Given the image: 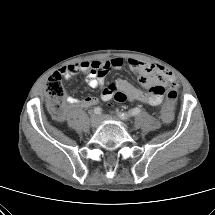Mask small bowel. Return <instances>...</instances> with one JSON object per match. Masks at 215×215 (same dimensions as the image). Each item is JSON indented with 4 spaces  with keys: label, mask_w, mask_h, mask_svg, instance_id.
<instances>
[{
    "label": "small bowel",
    "mask_w": 215,
    "mask_h": 215,
    "mask_svg": "<svg viewBox=\"0 0 215 215\" xmlns=\"http://www.w3.org/2000/svg\"><path fill=\"white\" fill-rule=\"evenodd\" d=\"M124 63L125 61L120 57L107 61H83L61 68L57 74L64 76L66 79H71L79 73L85 74L87 84L91 88H101V99L103 101H132L158 106L163 102V92H156V87L162 90L167 87L174 89L178 87L174 75L164 67L133 58L128 59L126 64L138 74V80L143 89H139L122 79L105 85L107 72L110 69L121 68ZM97 103L98 99L95 97L89 96L78 99L70 96L67 98L66 109L74 107L88 108Z\"/></svg>",
    "instance_id": "small-bowel-1"
}]
</instances>
